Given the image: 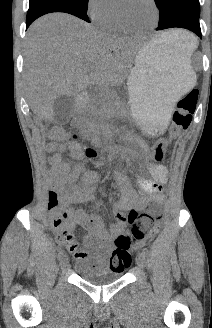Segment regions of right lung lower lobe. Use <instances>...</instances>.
<instances>
[{
  "label": "right lung lower lobe",
  "instance_id": "98d812e1",
  "mask_svg": "<svg viewBox=\"0 0 212 328\" xmlns=\"http://www.w3.org/2000/svg\"><path fill=\"white\" fill-rule=\"evenodd\" d=\"M51 12L69 13L89 22L86 8L71 0H30L26 28L38 17Z\"/></svg>",
  "mask_w": 212,
  "mask_h": 328
}]
</instances>
